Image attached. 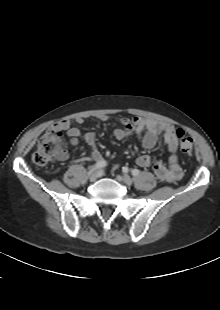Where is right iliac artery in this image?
Wrapping results in <instances>:
<instances>
[{"label":"right iliac artery","mask_w":220,"mask_h":310,"mask_svg":"<svg viewBox=\"0 0 220 310\" xmlns=\"http://www.w3.org/2000/svg\"><path fill=\"white\" fill-rule=\"evenodd\" d=\"M105 166H106V161L98 162L89 168L87 175L90 176L94 171H97ZM83 183H85V180L83 181Z\"/></svg>","instance_id":"right-iliac-artery-1"}]
</instances>
